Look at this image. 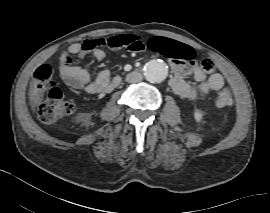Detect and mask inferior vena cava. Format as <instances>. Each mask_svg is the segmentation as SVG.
<instances>
[{
	"label": "inferior vena cava",
	"mask_w": 270,
	"mask_h": 213,
	"mask_svg": "<svg viewBox=\"0 0 270 213\" xmlns=\"http://www.w3.org/2000/svg\"><path fill=\"white\" fill-rule=\"evenodd\" d=\"M143 77L141 75V73L133 71L130 72L129 74H127L126 76V81L129 83H137L142 81Z\"/></svg>",
	"instance_id": "inferior-vena-cava-1"
}]
</instances>
